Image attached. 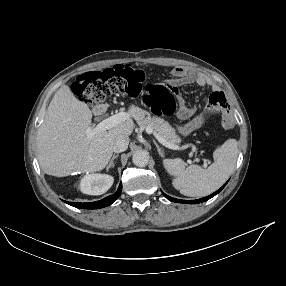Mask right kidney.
<instances>
[{"label":"right kidney","instance_id":"1","mask_svg":"<svg viewBox=\"0 0 286 286\" xmlns=\"http://www.w3.org/2000/svg\"><path fill=\"white\" fill-rule=\"evenodd\" d=\"M113 177L106 174H89L80 181V190L88 195H101L110 189Z\"/></svg>","mask_w":286,"mask_h":286}]
</instances>
